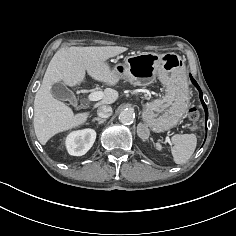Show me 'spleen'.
I'll return each instance as SVG.
<instances>
[{"label":"spleen","instance_id":"obj_1","mask_svg":"<svg viewBox=\"0 0 236 236\" xmlns=\"http://www.w3.org/2000/svg\"><path fill=\"white\" fill-rule=\"evenodd\" d=\"M173 147L171 153L176 164L186 163L194 153L197 145V138L195 134H176L171 138ZM158 150L162 149L159 143H156Z\"/></svg>","mask_w":236,"mask_h":236}]
</instances>
